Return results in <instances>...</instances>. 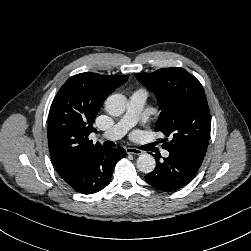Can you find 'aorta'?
I'll return each instance as SVG.
<instances>
[{"label": "aorta", "instance_id": "aorta-1", "mask_svg": "<svg viewBox=\"0 0 251 251\" xmlns=\"http://www.w3.org/2000/svg\"><path fill=\"white\" fill-rule=\"evenodd\" d=\"M126 97L121 94L110 95L105 101V109L111 116H120L126 109ZM156 166L155 158L148 154H141L137 158V168L143 173H151Z\"/></svg>", "mask_w": 251, "mask_h": 251}]
</instances>
